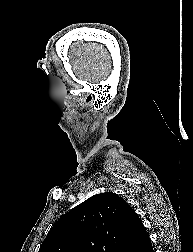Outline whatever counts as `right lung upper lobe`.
<instances>
[{"mask_svg":"<svg viewBox=\"0 0 193 252\" xmlns=\"http://www.w3.org/2000/svg\"><path fill=\"white\" fill-rule=\"evenodd\" d=\"M143 231L141 219L124 199L100 193L62 216L39 252H129Z\"/></svg>","mask_w":193,"mask_h":252,"instance_id":"right-lung-upper-lobe-1","label":"right lung upper lobe"}]
</instances>
